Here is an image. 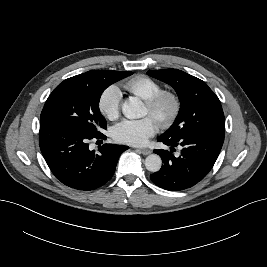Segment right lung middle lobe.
Returning a JSON list of instances; mask_svg holds the SVG:
<instances>
[{"label":"right lung middle lobe","instance_id":"dd1d6c3e","mask_svg":"<svg viewBox=\"0 0 267 267\" xmlns=\"http://www.w3.org/2000/svg\"><path fill=\"white\" fill-rule=\"evenodd\" d=\"M132 72L101 71L87 78H68L48 97L41 120H50L82 133L97 136L107 122L99 110L103 91Z\"/></svg>","mask_w":267,"mask_h":267}]
</instances>
